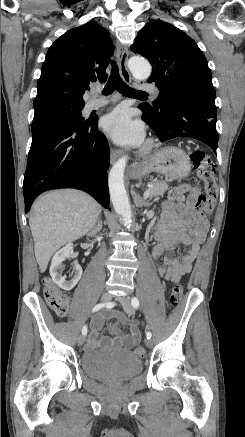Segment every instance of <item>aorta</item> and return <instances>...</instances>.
<instances>
[{"label": "aorta", "instance_id": "obj_1", "mask_svg": "<svg viewBox=\"0 0 245 437\" xmlns=\"http://www.w3.org/2000/svg\"><path fill=\"white\" fill-rule=\"evenodd\" d=\"M128 67L133 77L139 80H145L151 74L149 62L139 56L132 57L128 62ZM127 159V156H123L113 165L109 172L108 184L114 210L121 216L123 224L130 228L131 208L124 187V171Z\"/></svg>", "mask_w": 245, "mask_h": 437}]
</instances>
